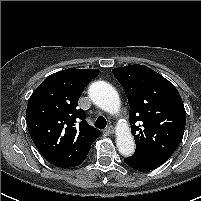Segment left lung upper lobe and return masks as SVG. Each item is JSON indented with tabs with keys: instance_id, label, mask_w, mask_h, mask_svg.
<instances>
[{
	"instance_id": "left-lung-upper-lobe-1",
	"label": "left lung upper lobe",
	"mask_w": 201,
	"mask_h": 201,
	"mask_svg": "<svg viewBox=\"0 0 201 201\" xmlns=\"http://www.w3.org/2000/svg\"><path fill=\"white\" fill-rule=\"evenodd\" d=\"M128 98L130 124L139 158H169L180 144L186 112L175 86L144 65L114 68ZM140 123V124H139Z\"/></svg>"
}]
</instances>
